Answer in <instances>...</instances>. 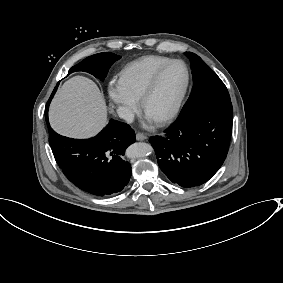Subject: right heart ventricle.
<instances>
[{
	"label": "right heart ventricle",
	"instance_id": "obj_1",
	"mask_svg": "<svg viewBox=\"0 0 283 283\" xmlns=\"http://www.w3.org/2000/svg\"><path fill=\"white\" fill-rule=\"evenodd\" d=\"M171 60L170 57L162 55H149L127 65L119 74V80L126 93L138 101L153 72Z\"/></svg>",
	"mask_w": 283,
	"mask_h": 283
}]
</instances>
